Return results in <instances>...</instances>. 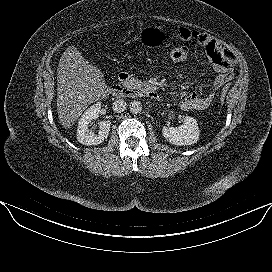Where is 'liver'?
I'll list each match as a JSON object with an SVG mask.
<instances>
[{"instance_id": "6515ba94", "label": "liver", "mask_w": 272, "mask_h": 272, "mask_svg": "<svg viewBox=\"0 0 272 272\" xmlns=\"http://www.w3.org/2000/svg\"><path fill=\"white\" fill-rule=\"evenodd\" d=\"M103 73L68 47L57 68V113L60 124L70 128L89 104L107 96Z\"/></svg>"}]
</instances>
